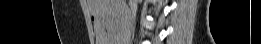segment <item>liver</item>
<instances>
[{"mask_svg":"<svg viewBox=\"0 0 261 44\" xmlns=\"http://www.w3.org/2000/svg\"><path fill=\"white\" fill-rule=\"evenodd\" d=\"M87 5L91 14L97 19L95 23L97 44L129 42L128 35L123 31L127 30V25H121L134 24V19H129V14H126L128 13L126 0H87Z\"/></svg>","mask_w":261,"mask_h":44,"instance_id":"1","label":"liver"}]
</instances>
